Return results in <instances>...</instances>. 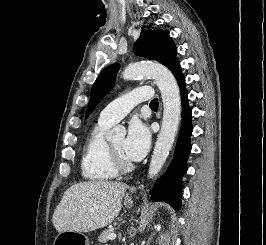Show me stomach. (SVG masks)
Segmentation results:
<instances>
[{
	"mask_svg": "<svg viewBox=\"0 0 266 245\" xmlns=\"http://www.w3.org/2000/svg\"><path fill=\"white\" fill-rule=\"evenodd\" d=\"M124 207L131 209L133 207V201L130 197H125ZM58 242H73L74 245H89V239L80 233V231H72V233H58Z\"/></svg>",
	"mask_w": 266,
	"mask_h": 245,
	"instance_id": "0dacf381",
	"label": "stomach"
}]
</instances>
